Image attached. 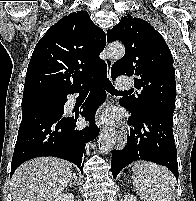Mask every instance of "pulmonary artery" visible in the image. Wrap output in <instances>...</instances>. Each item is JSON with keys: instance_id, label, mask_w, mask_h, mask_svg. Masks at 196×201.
<instances>
[{"instance_id": "e3ab8cb5", "label": "pulmonary artery", "mask_w": 196, "mask_h": 201, "mask_svg": "<svg viewBox=\"0 0 196 201\" xmlns=\"http://www.w3.org/2000/svg\"><path fill=\"white\" fill-rule=\"evenodd\" d=\"M115 85L118 89H129L132 86V81L127 77H121L116 81Z\"/></svg>"}]
</instances>
